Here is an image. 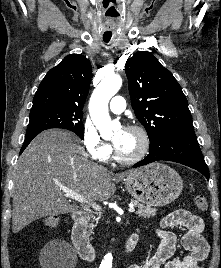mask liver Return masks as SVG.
<instances>
[{"label": "liver", "instance_id": "1", "mask_svg": "<svg viewBox=\"0 0 221 268\" xmlns=\"http://www.w3.org/2000/svg\"><path fill=\"white\" fill-rule=\"evenodd\" d=\"M77 137L63 130L40 133L14 168L12 230L19 232L41 217L66 214L77 206L64 197L59 185L85 198L86 204L110 199L118 182L130 172L114 175L88 160Z\"/></svg>", "mask_w": 221, "mask_h": 268}]
</instances>
